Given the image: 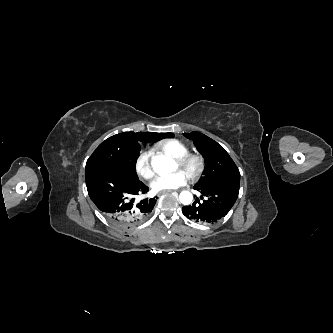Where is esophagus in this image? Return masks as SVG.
Listing matches in <instances>:
<instances>
[{
    "instance_id": "34e87169",
    "label": "esophagus",
    "mask_w": 333,
    "mask_h": 333,
    "mask_svg": "<svg viewBox=\"0 0 333 333\" xmlns=\"http://www.w3.org/2000/svg\"><path fill=\"white\" fill-rule=\"evenodd\" d=\"M166 192H172V190L162 191V192H160V194H162V193H166Z\"/></svg>"
}]
</instances>
